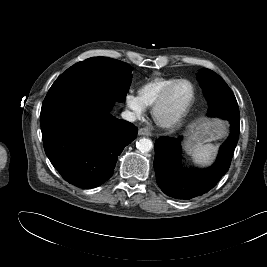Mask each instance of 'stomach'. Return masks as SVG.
I'll list each match as a JSON object with an SVG mask.
<instances>
[{
	"label": "stomach",
	"mask_w": 267,
	"mask_h": 267,
	"mask_svg": "<svg viewBox=\"0 0 267 267\" xmlns=\"http://www.w3.org/2000/svg\"><path fill=\"white\" fill-rule=\"evenodd\" d=\"M226 132V124L219 119H206L190 125L187 138L184 143L186 148H193L197 144H203L220 137Z\"/></svg>",
	"instance_id": "obj_1"
}]
</instances>
